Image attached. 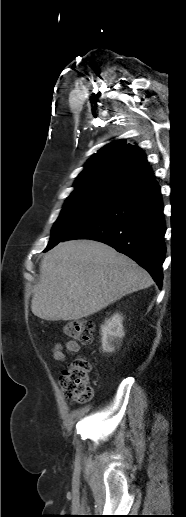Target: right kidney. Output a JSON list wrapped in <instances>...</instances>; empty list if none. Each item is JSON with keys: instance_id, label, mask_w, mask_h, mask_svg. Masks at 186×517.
Here are the masks:
<instances>
[{"instance_id": "1", "label": "right kidney", "mask_w": 186, "mask_h": 517, "mask_svg": "<svg viewBox=\"0 0 186 517\" xmlns=\"http://www.w3.org/2000/svg\"><path fill=\"white\" fill-rule=\"evenodd\" d=\"M123 317L116 313L101 326V342L103 352H113L122 343L124 330Z\"/></svg>"}]
</instances>
